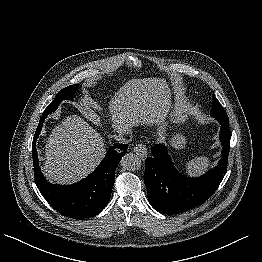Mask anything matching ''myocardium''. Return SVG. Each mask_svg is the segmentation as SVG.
<instances>
[{"label": "myocardium", "mask_w": 262, "mask_h": 262, "mask_svg": "<svg viewBox=\"0 0 262 262\" xmlns=\"http://www.w3.org/2000/svg\"><path fill=\"white\" fill-rule=\"evenodd\" d=\"M168 137H169V134H168L166 131H163V132H161V134L159 135V140H160L161 142H166L167 139H168Z\"/></svg>", "instance_id": "1"}]
</instances>
